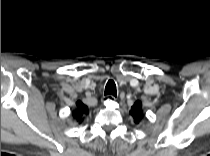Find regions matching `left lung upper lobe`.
Masks as SVG:
<instances>
[{
	"instance_id": "5c2ea615",
	"label": "left lung upper lobe",
	"mask_w": 210,
	"mask_h": 156,
	"mask_svg": "<svg viewBox=\"0 0 210 156\" xmlns=\"http://www.w3.org/2000/svg\"><path fill=\"white\" fill-rule=\"evenodd\" d=\"M130 114L134 118L135 123H139L143 117V112L141 109V102L137 101L134 106H132Z\"/></svg>"
}]
</instances>
